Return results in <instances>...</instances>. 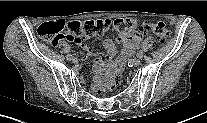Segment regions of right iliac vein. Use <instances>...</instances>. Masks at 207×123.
<instances>
[{"label":"right iliac vein","instance_id":"right-iliac-vein-1","mask_svg":"<svg viewBox=\"0 0 207 123\" xmlns=\"http://www.w3.org/2000/svg\"><path fill=\"white\" fill-rule=\"evenodd\" d=\"M70 61L73 62V63H77L78 62L77 58H75V57H72Z\"/></svg>","mask_w":207,"mask_h":123}]
</instances>
